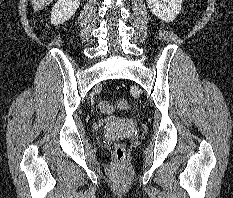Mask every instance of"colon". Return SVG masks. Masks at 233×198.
<instances>
[{
    "label": "colon",
    "instance_id": "5ec220e1",
    "mask_svg": "<svg viewBox=\"0 0 233 198\" xmlns=\"http://www.w3.org/2000/svg\"><path fill=\"white\" fill-rule=\"evenodd\" d=\"M119 106L123 109H126L128 107L125 101H121L119 103ZM99 108L103 113H106V114H110L113 111V106L107 101L100 102ZM114 153H115L116 160L118 162H122L125 159V155H126L125 146L123 144H117L115 146Z\"/></svg>",
    "mask_w": 233,
    "mask_h": 198
}]
</instances>
